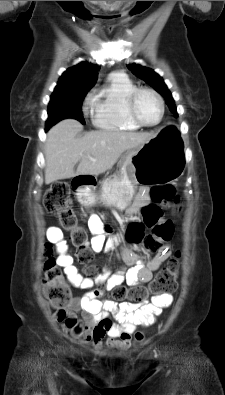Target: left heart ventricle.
I'll use <instances>...</instances> for the list:
<instances>
[{
    "mask_svg": "<svg viewBox=\"0 0 225 395\" xmlns=\"http://www.w3.org/2000/svg\"><path fill=\"white\" fill-rule=\"evenodd\" d=\"M136 110L139 118L148 124L158 121L160 116V106L154 96L149 93H142L137 100Z\"/></svg>",
    "mask_w": 225,
    "mask_h": 395,
    "instance_id": "1",
    "label": "left heart ventricle"
}]
</instances>
